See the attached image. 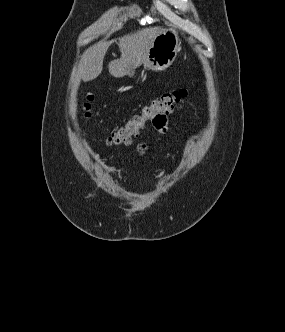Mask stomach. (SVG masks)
<instances>
[{
	"instance_id": "obj_1",
	"label": "stomach",
	"mask_w": 285,
	"mask_h": 332,
	"mask_svg": "<svg viewBox=\"0 0 285 332\" xmlns=\"http://www.w3.org/2000/svg\"><path fill=\"white\" fill-rule=\"evenodd\" d=\"M179 51L180 40L176 30L165 29L154 39L144 66L153 71H163L174 62ZM134 74L132 70L128 76L133 77Z\"/></svg>"
}]
</instances>
